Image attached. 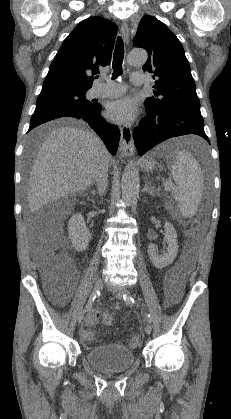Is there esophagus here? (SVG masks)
Masks as SVG:
<instances>
[{
	"label": "esophagus",
	"mask_w": 231,
	"mask_h": 419,
	"mask_svg": "<svg viewBox=\"0 0 231 419\" xmlns=\"http://www.w3.org/2000/svg\"><path fill=\"white\" fill-rule=\"evenodd\" d=\"M121 35L126 43L129 41V27L126 22L121 25ZM121 138L119 151L123 157H131L135 154V147L132 137V129L129 125L120 128Z\"/></svg>",
	"instance_id": "34e87169"
}]
</instances>
